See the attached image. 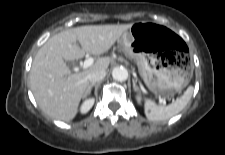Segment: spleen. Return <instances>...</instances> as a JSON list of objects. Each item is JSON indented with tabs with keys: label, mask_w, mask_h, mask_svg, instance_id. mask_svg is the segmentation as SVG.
Returning <instances> with one entry per match:
<instances>
[{
	"label": "spleen",
	"mask_w": 225,
	"mask_h": 155,
	"mask_svg": "<svg viewBox=\"0 0 225 155\" xmlns=\"http://www.w3.org/2000/svg\"><path fill=\"white\" fill-rule=\"evenodd\" d=\"M193 90L192 86L188 87L181 98L167 106H160L151 99H145L144 112L146 117L151 121H163L177 115L191 99Z\"/></svg>",
	"instance_id": "spleen-1"
}]
</instances>
